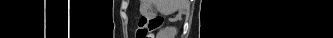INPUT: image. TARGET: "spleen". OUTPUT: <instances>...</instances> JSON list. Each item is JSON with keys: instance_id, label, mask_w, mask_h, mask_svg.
<instances>
[{"instance_id": "1", "label": "spleen", "mask_w": 333, "mask_h": 38, "mask_svg": "<svg viewBox=\"0 0 333 38\" xmlns=\"http://www.w3.org/2000/svg\"><path fill=\"white\" fill-rule=\"evenodd\" d=\"M163 12H165V13H167V12H168V8H167V6H165V8H164Z\"/></svg>"}]
</instances>
